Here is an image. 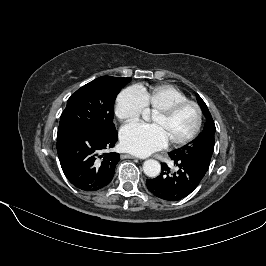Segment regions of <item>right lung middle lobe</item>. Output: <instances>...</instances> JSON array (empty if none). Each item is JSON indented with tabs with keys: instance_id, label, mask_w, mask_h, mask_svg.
Segmentation results:
<instances>
[{
	"instance_id": "right-lung-middle-lobe-1",
	"label": "right lung middle lobe",
	"mask_w": 266,
	"mask_h": 266,
	"mask_svg": "<svg viewBox=\"0 0 266 266\" xmlns=\"http://www.w3.org/2000/svg\"><path fill=\"white\" fill-rule=\"evenodd\" d=\"M131 78L99 77L78 89L67 101L58 131L80 128L106 134L115 130L114 102Z\"/></svg>"
}]
</instances>
